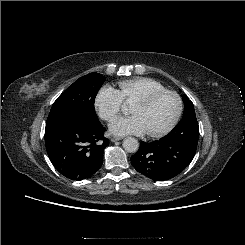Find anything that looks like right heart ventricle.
<instances>
[{
    "instance_id": "e07e8e85",
    "label": "right heart ventricle",
    "mask_w": 245,
    "mask_h": 245,
    "mask_svg": "<svg viewBox=\"0 0 245 245\" xmlns=\"http://www.w3.org/2000/svg\"><path fill=\"white\" fill-rule=\"evenodd\" d=\"M118 87V93L125 102L135 101L141 96L166 89L163 84L149 77L123 80L118 83Z\"/></svg>"
}]
</instances>
